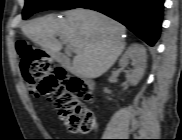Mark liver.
<instances>
[{"mask_svg": "<svg viewBox=\"0 0 182 140\" xmlns=\"http://www.w3.org/2000/svg\"><path fill=\"white\" fill-rule=\"evenodd\" d=\"M65 20L47 15L31 20L22 32L49 54L56 55L62 43L77 50L73 70L85 78L104 74L124 50L123 35L126 28L117 21L93 10L77 8L66 12Z\"/></svg>", "mask_w": 182, "mask_h": 140, "instance_id": "6515ba94", "label": "liver"}]
</instances>
